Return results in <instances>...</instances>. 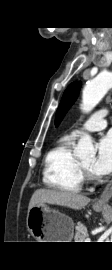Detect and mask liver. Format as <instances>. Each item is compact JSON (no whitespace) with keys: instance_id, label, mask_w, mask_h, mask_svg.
Returning a JSON list of instances; mask_svg holds the SVG:
<instances>
[{"instance_id":"6515ba94","label":"liver","mask_w":112,"mask_h":270,"mask_svg":"<svg viewBox=\"0 0 112 270\" xmlns=\"http://www.w3.org/2000/svg\"><path fill=\"white\" fill-rule=\"evenodd\" d=\"M90 202V198L73 192L38 189L36 190L29 202L28 211L37 204H53L69 207L74 210H80Z\"/></svg>"}]
</instances>
